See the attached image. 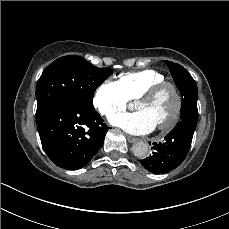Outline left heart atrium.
<instances>
[{
    "label": "left heart atrium",
    "mask_w": 229,
    "mask_h": 229,
    "mask_svg": "<svg viewBox=\"0 0 229 229\" xmlns=\"http://www.w3.org/2000/svg\"><path fill=\"white\" fill-rule=\"evenodd\" d=\"M110 123L133 134H146L155 127L153 121L143 111L118 114L110 119Z\"/></svg>",
    "instance_id": "39dd6f15"
}]
</instances>
